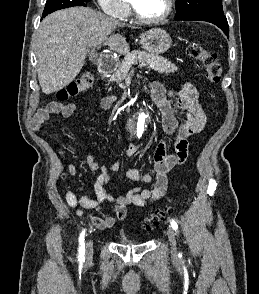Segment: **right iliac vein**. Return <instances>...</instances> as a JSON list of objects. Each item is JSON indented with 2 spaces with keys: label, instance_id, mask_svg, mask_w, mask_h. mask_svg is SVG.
Segmentation results:
<instances>
[{
  "label": "right iliac vein",
  "instance_id": "1",
  "mask_svg": "<svg viewBox=\"0 0 259 294\" xmlns=\"http://www.w3.org/2000/svg\"><path fill=\"white\" fill-rule=\"evenodd\" d=\"M86 260L89 261L92 259V255H93V245H92V241L89 240L86 243Z\"/></svg>",
  "mask_w": 259,
  "mask_h": 294
}]
</instances>
